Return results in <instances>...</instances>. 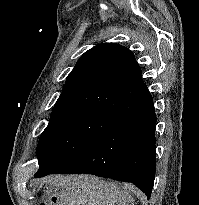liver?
<instances>
[{
  "instance_id": "1",
  "label": "liver",
  "mask_w": 199,
  "mask_h": 205,
  "mask_svg": "<svg viewBox=\"0 0 199 205\" xmlns=\"http://www.w3.org/2000/svg\"><path fill=\"white\" fill-rule=\"evenodd\" d=\"M60 191L59 205H128L133 203L127 187L99 180L94 176H56L49 178Z\"/></svg>"
}]
</instances>
